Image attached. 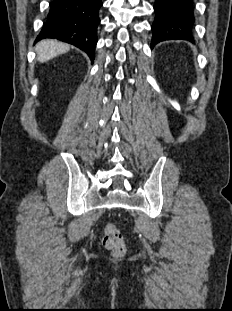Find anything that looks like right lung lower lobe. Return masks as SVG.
Returning <instances> with one entry per match:
<instances>
[{"label": "right lung lower lobe", "mask_w": 232, "mask_h": 311, "mask_svg": "<svg viewBox=\"0 0 232 311\" xmlns=\"http://www.w3.org/2000/svg\"><path fill=\"white\" fill-rule=\"evenodd\" d=\"M102 0H53L36 42L56 38L85 51L93 61Z\"/></svg>", "instance_id": "1"}]
</instances>
